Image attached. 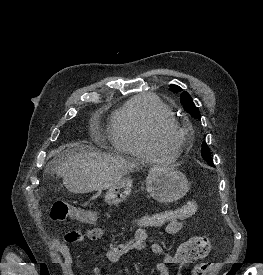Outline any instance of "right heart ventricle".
I'll list each match as a JSON object with an SVG mask.
<instances>
[{
    "label": "right heart ventricle",
    "instance_id": "1",
    "mask_svg": "<svg viewBox=\"0 0 263 275\" xmlns=\"http://www.w3.org/2000/svg\"><path fill=\"white\" fill-rule=\"evenodd\" d=\"M175 119L172 110L155 94L130 98L111 117L109 136L121 153L144 159H172L176 153L158 148L151 139L154 126Z\"/></svg>",
    "mask_w": 263,
    "mask_h": 275
}]
</instances>
